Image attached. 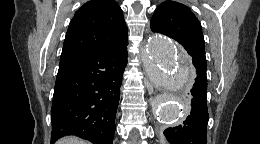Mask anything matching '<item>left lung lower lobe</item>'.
Listing matches in <instances>:
<instances>
[{"mask_svg": "<svg viewBox=\"0 0 260 144\" xmlns=\"http://www.w3.org/2000/svg\"><path fill=\"white\" fill-rule=\"evenodd\" d=\"M187 53L193 58V63L203 56L194 50H188ZM206 61V58L204 59ZM197 77L195 83L188 93V102L191 101V112L185 121L172 128H167L164 135L171 144H206L207 142V77L206 69H196Z\"/></svg>", "mask_w": 260, "mask_h": 144, "instance_id": "obj_1", "label": "left lung lower lobe"}]
</instances>
